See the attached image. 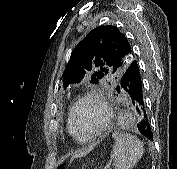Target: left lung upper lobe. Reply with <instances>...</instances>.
Listing matches in <instances>:
<instances>
[{
	"label": "left lung upper lobe",
	"instance_id": "obj_1",
	"mask_svg": "<svg viewBox=\"0 0 177 169\" xmlns=\"http://www.w3.org/2000/svg\"><path fill=\"white\" fill-rule=\"evenodd\" d=\"M133 60V48L126 36L115 26H99L72 51L62 84L66 88L87 79L97 84L109 78L116 85Z\"/></svg>",
	"mask_w": 177,
	"mask_h": 169
}]
</instances>
